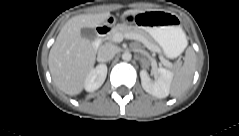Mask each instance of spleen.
Wrapping results in <instances>:
<instances>
[{
    "label": "spleen",
    "mask_w": 239,
    "mask_h": 136,
    "mask_svg": "<svg viewBox=\"0 0 239 136\" xmlns=\"http://www.w3.org/2000/svg\"><path fill=\"white\" fill-rule=\"evenodd\" d=\"M187 45V40L185 41ZM195 53L189 48L186 52L185 61L171 84V95L173 97L181 96L190 86L195 71Z\"/></svg>",
    "instance_id": "3e777b00"
}]
</instances>
